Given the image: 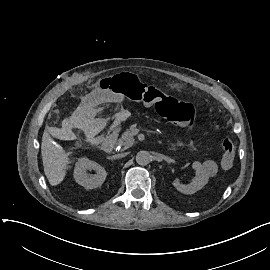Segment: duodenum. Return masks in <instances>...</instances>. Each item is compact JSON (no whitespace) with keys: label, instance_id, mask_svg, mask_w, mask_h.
Here are the masks:
<instances>
[{"label":"duodenum","instance_id":"duodenum-1","mask_svg":"<svg viewBox=\"0 0 270 270\" xmlns=\"http://www.w3.org/2000/svg\"><path fill=\"white\" fill-rule=\"evenodd\" d=\"M118 131H119L118 125H114L110 129L109 134L103 140L101 145V148L104 152L110 153L114 149L118 137Z\"/></svg>","mask_w":270,"mask_h":270}]
</instances>
